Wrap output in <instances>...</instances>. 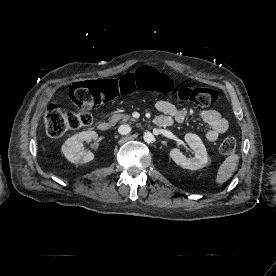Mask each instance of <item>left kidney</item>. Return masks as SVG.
Returning a JSON list of instances; mask_svg holds the SVG:
<instances>
[{"instance_id": "left-kidney-1", "label": "left kidney", "mask_w": 276, "mask_h": 276, "mask_svg": "<svg viewBox=\"0 0 276 276\" xmlns=\"http://www.w3.org/2000/svg\"><path fill=\"white\" fill-rule=\"evenodd\" d=\"M185 141L195 152L193 158H187L178 148L171 149L170 157L181 167L189 170H198L205 167L209 161L206 148L200 137L196 134L188 133L185 135Z\"/></svg>"}]
</instances>
